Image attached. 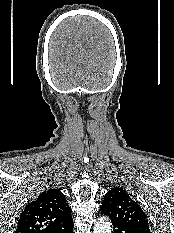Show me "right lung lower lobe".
Returning <instances> with one entry per match:
<instances>
[{
	"label": "right lung lower lobe",
	"instance_id": "1",
	"mask_svg": "<svg viewBox=\"0 0 174 233\" xmlns=\"http://www.w3.org/2000/svg\"><path fill=\"white\" fill-rule=\"evenodd\" d=\"M72 229H73V225L69 229L62 231L61 233H72Z\"/></svg>",
	"mask_w": 174,
	"mask_h": 233
}]
</instances>
